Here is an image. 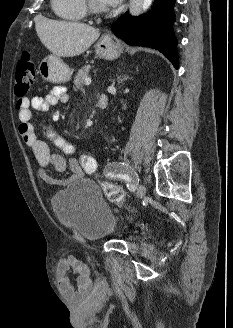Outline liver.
<instances>
[{"label": "liver", "mask_w": 233, "mask_h": 328, "mask_svg": "<svg viewBox=\"0 0 233 328\" xmlns=\"http://www.w3.org/2000/svg\"><path fill=\"white\" fill-rule=\"evenodd\" d=\"M35 27L43 45L58 57L84 53L99 37V30L83 23L35 18Z\"/></svg>", "instance_id": "obj_1"}]
</instances>
